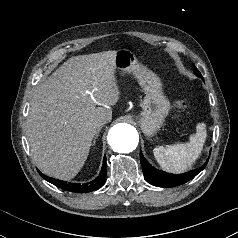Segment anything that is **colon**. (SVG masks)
Returning a JSON list of instances; mask_svg holds the SVG:
<instances>
[{
    "label": "colon",
    "instance_id": "colon-1",
    "mask_svg": "<svg viewBox=\"0 0 238 238\" xmlns=\"http://www.w3.org/2000/svg\"><path fill=\"white\" fill-rule=\"evenodd\" d=\"M185 107H186V104H185L184 101H178L176 103V109H177L178 112L183 111L185 109Z\"/></svg>",
    "mask_w": 238,
    "mask_h": 238
}]
</instances>
